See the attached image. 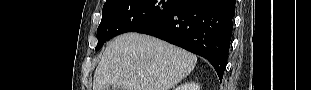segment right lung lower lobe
<instances>
[{
	"mask_svg": "<svg viewBox=\"0 0 311 90\" xmlns=\"http://www.w3.org/2000/svg\"><path fill=\"white\" fill-rule=\"evenodd\" d=\"M235 14V0H180L158 21L138 30L209 60L222 80Z\"/></svg>",
	"mask_w": 311,
	"mask_h": 90,
	"instance_id": "right-lung-lower-lobe-1",
	"label": "right lung lower lobe"
}]
</instances>
